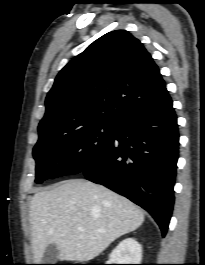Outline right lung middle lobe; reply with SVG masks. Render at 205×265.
<instances>
[{
    "label": "right lung middle lobe",
    "mask_w": 205,
    "mask_h": 265,
    "mask_svg": "<svg viewBox=\"0 0 205 265\" xmlns=\"http://www.w3.org/2000/svg\"><path fill=\"white\" fill-rule=\"evenodd\" d=\"M117 123L93 122L60 133L44 129L33 149L36 183L83 170L113 139Z\"/></svg>",
    "instance_id": "obj_1"
}]
</instances>
